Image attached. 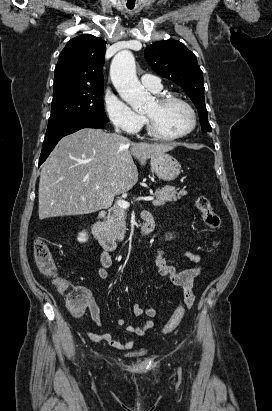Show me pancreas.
<instances>
[{
	"label": "pancreas",
	"instance_id": "1",
	"mask_svg": "<svg viewBox=\"0 0 272 411\" xmlns=\"http://www.w3.org/2000/svg\"><path fill=\"white\" fill-rule=\"evenodd\" d=\"M187 195V192L182 189H176L173 186H164L161 189H157L154 193L156 199L153 200L154 206L164 205L166 202H175L182 196ZM126 212L125 209L114 206L108 214L105 222V230L115 240L122 241L126 233Z\"/></svg>",
	"mask_w": 272,
	"mask_h": 411
}]
</instances>
